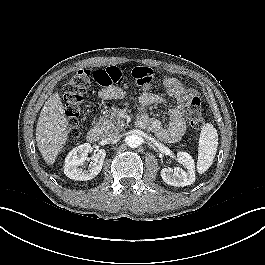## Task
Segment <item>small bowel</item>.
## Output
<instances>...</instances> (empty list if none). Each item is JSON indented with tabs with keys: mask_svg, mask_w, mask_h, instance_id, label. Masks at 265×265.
Returning <instances> with one entry per match:
<instances>
[{
	"mask_svg": "<svg viewBox=\"0 0 265 265\" xmlns=\"http://www.w3.org/2000/svg\"><path fill=\"white\" fill-rule=\"evenodd\" d=\"M136 70L140 71V75L145 79V82L139 83L140 111L138 124L150 129L159 139L165 142H178L181 140L186 130L183 117L184 106L195 96V92L187 90L182 83L175 78H166L164 80V87L167 93L177 101V106L169 110L170 125L165 127L159 119L150 118L145 112L148 106L162 104L165 102V99L150 91L151 76L148 68L138 67L135 68L132 73ZM99 95L104 99H120L123 97L124 91L120 87L109 85L101 89Z\"/></svg>",
	"mask_w": 265,
	"mask_h": 265,
	"instance_id": "1",
	"label": "small bowel"
}]
</instances>
